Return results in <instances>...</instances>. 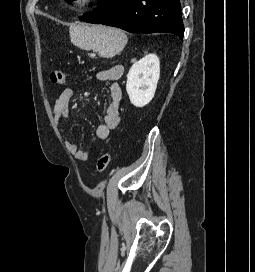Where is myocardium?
<instances>
[{
	"label": "myocardium",
	"instance_id": "f54148a6",
	"mask_svg": "<svg viewBox=\"0 0 255 272\" xmlns=\"http://www.w3.org/2000/svg\"><path fill=\"white\" fill-rule=\"evenodd\" d=\"M95 0H70V4L75 8H86L94 3Z\"/></svg>",
	"mask_w": 255,
	"mask_h": 272
}]
</instances>
